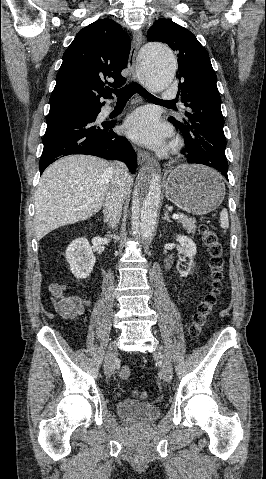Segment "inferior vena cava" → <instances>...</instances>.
Listing matches in <instances>:
<instances>
[{"label":"inferior vena cava","mask_w":266,"mask_h":479,"mask_svg":"<svg viewBox=\"0 0 266 479\" xmlns=\"http://www.w3.org/2000/svg\"><path fill=\"white\" fill-rule=\"evenodd\" d=\"M111 181L103 205L105 221L111 228H114L121 217L122 205L126 196V185L129 173L126 166L117 162L111 165Z\"/></svg>","instance_id":"1"}]
</instances>
